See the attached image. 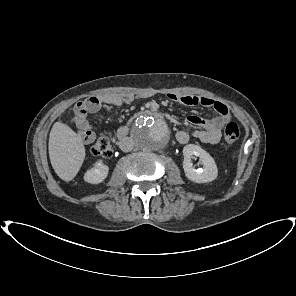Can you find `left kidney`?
<instances>
[{"label":"left kidney","mask_w":296,"mask_h":296,"mask_svg":"<svg viewBox=\"0 0 296 296\" xmlns=\"http://www.w3.org/2000/svg\"><path fill=\"white\" fill-rule=\"evenodd\" d=\"M183 169L186 177L195 183H207L215 180L218 175L217 165L212 156L195 144H188L183 148ZM199 157L203 168L195 169L192 159Z\"/></svg>","instance_id":"1"}]
</instances>
